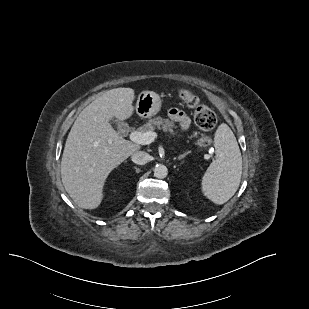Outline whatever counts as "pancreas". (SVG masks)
I'll use <instances>...</instances> for the list:
<instances>
[{"label":"pancreas","mask_w":309,"mask_h":309,"mask_svg":"<svg viewBox=\"0 0 309 309\" xmlns=\"http://www.w3.org/2000/svg\"><path fill=\"white\" fill-rule=\"evenodd\" d=\"M174 123L168 119H163L161 117H156L147 121L146 124L141 126L139 130L141 132L153 131L155 129L163 130L164 132H169L172 135L174 133Z\"/></svg>","instance_id":"pancreas-1"}]
</instances>
